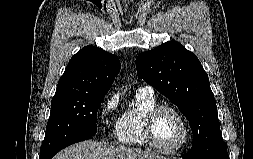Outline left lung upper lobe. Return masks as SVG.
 Returning <instances> with one entry per match:
<instances>
[{"label":"left lung upper lobe","mask_w":253,"mask_h":159,"mask_svg":"<svg viewBox=\"0 0 253 159\" xmlns=\"http://www.w3.org/2000/svg\"><path fill=\"white\" fill-rule=\"evenodd\" d=\"M136 69L186 116L193 132L191 151L198 159L208 157L224 142L208 75L194 53L170 41L140 54Z\"/></svg>","instance_id":"5c2ea615"}]
</instances>
